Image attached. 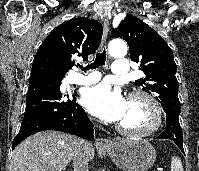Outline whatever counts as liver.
Returning a JSON list of instances; mask_svg holds the SVG:
<instances>
[{"label": "liver", "instance_id": "liver-1", "mask_svg": "<svg viewBox=\"0 0 199 171\" xmlns=\"http://www.w3.org/2000/svg\"><path fill=\"white\" fill-rule=\"evenodd\" d=\"M79 141L76 136L58 131L36 133L15 148L10 171H63L74 157ZM94 153L93 145L86 143L88 161Z\"/></svg>", "mask_w": 199, "mask_h": 171}]
</instances>
